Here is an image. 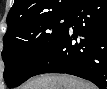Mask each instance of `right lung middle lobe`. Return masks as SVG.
Here are the masks:
<instances>
[{"label":"right lung middle lobe","mask_w":107,"mask_h":89,"mask_svg":"<svg viewBox=\"0 0 107 89\" xmlns=\"http://www.w3.org/2000/svg\"><path fill=\"white\" fill-rule=\"evenodd\" d=\"M69 18V12H65L8 26L2 51L4 79L8 87L19 86L34 76L41 62L62 37Z\"/></svg>","instance_id":"right-lung-middle-lobe-1"}]
</instances>
